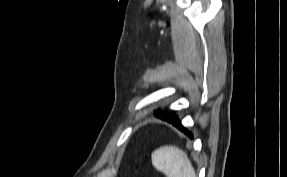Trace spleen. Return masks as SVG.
<instances>
[{"instance_id":"spleen-1","label":"spleen","mask_w":287,"mask_h":177,"mask_svg":"<svg viewBox=\"0 0 287 177\" xmlns=\"http://www.w3.org/2000/svg\"><path fill=\"white\" fill-rule=\"evenodd\" d=\"M151 158L153 166L167 177H196L187 154L176 146H162Z\"/></svg>"}]
</instances>
